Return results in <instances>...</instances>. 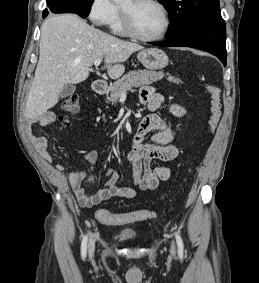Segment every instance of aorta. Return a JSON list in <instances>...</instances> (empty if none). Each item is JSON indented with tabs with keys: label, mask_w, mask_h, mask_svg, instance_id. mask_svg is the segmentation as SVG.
I'll list each match as a JSON object with an SVG mask.
<instances>
[{
	"label": "aorta",
	"mask_w": 259,
	"mask_h": 283,
	"mask_svg": "<svg viewBox=\"0 0 259 283\" xmlns=\"http://www.w3.org/2000/svg\"><path fill=\"white\" fill-rule=\"evenodd\" d=\"M114 2H120V1H122V0H113Z\"/></svg>",
	"instance_id": "762f6f07"
}]
</instances>
